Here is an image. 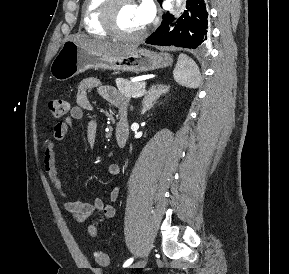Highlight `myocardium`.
Wrapping results in <instances>:
<instances>
[{
	"instance_id": "f54148a6",
	"label": "myocardium",
	"mask_w": 289,
	"mask_h": 274,
	"mask_svg": "<svg viewBox=\"0 0 289 274\" xmlns=\"http://www.w3.org/2000/svg\"><path fill=\"white\" fill-rule=\"evenodd\" d=\"M135 4V0H105L100 12V21L103 28L113 37L125 40L134 41L143 38L148 28L145 26L142 30L136 33H124L119 30L116 24V14L122 4Z\"/></svg>"
}]
</instances>
